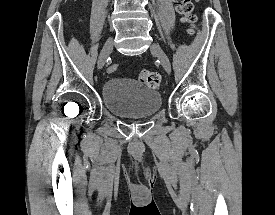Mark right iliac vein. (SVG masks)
Instances as JSON below:
<instances>
[{
  "mask_svg": "<svg viewBox=\"0 0 275 215\" xmlns=\"http://www.w3.org/2000/svg\"><path fill=\"white\" fill-rule=\"evenodd\" d=\"M112 50H113V39L109 38L106 41V43L104 44V47L99 55V59H98V68L99 69H101L104 66L106 59Z\"/></svg>",
  "mask_w": 275,
  "mask_h": 215,
  "instance_id": "right-iliac-vein-1",
  "label": "right iliac vein"
}]
</instances>
